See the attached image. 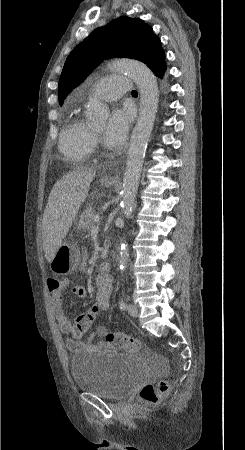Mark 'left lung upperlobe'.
<instances>
[{
    "mask_svg": "<svg viewBox=\"0 0 245 450\" xmlns=\"http://www.w3.org/2000/svg\"><path fill=\"white\" fill-rule=\"evenodd\" d=\"M129 57L145 63L152 71L165 62L160 39L141 19L126 16L94 30L68 56L58 86L59 103L104 59Z\"/></svg>",
    "mask_w": 245,
    "mask_h": 450,
    "instance_id": "left-lung-upper-lobe-1",
    "label": "left lung upper lobe"
}]
</instances>
